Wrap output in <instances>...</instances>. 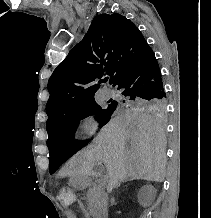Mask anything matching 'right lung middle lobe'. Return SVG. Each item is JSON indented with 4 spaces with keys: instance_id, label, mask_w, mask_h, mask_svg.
I'll return each instance as SVG.
<instances>
[{
    "instance_id": "1",
    "label": "right lung middle lobe",
    "mask_w": 211,
    "mask_h": 218,
    "mask_svg": "<svg viewBox=\"0 0 211 218\" xmlns=\"http://www.w3.org/2000/svg\"><path fill=\"white\" fill-rule=\"evenodd\" d=\"M107 109H102L95 100L89 101L72 112L61 117L57 123L48 130L49 138L47 146L50 150L49 171L53 174L60 165L66 160L62 159V154H68L69 157L76 153L83 145L88 143L86 141H75V131L78 127L79 121L87 116L95 115L96 119L101 123V126L107 123L117 107L136 108L146 106L156 111H164L166 109L165 98L161 99H142L127 97L123 100L112 101ZM62 152L61 155H53V151Z\"/></svg>"
}]
</instances>
